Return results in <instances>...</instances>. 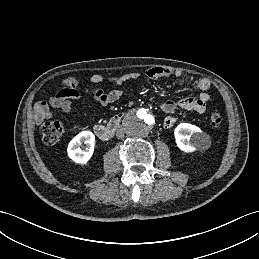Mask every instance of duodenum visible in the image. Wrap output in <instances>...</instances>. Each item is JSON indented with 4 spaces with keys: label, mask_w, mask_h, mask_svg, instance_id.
I'll list each match as a JSON object with an SVG mask.
<instances>
[{
    "label": "duodenum",
    "mask_w": 259,
    "mask_h": 259,
    "mask_svg": "<svg viewBox=\"0 0 259 259\" xmlns=\"http://www.w3.org/2000/svg\"><path fill=\"white\" fill-rule=\"evenodd\" d=\"M123 114L113 117L107 125L98 124L95 126L96 135L103 141L113 138L115 132L120 128Z\"/></svg>",
    "instance_id": "1"
}]
</instances>
